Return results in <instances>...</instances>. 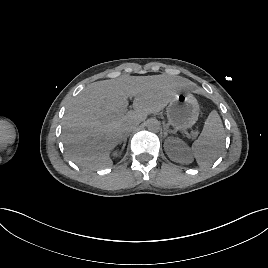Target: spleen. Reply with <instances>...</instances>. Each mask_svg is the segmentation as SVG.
<instances>
[{
	"mask_svg": "<svg viewBox=\"0 0 268 268\" xmlns=\"http://www.w3.org/2000/svg\"><path fill=\"white\" fill-rule=\"evenodd\" d=\"M224 128L222 120L213 110L208 115L199 138L192 144L191 150L201 168L210 166L218 157L224 143Z\"/></svg>",
	"mask_w": 268,
	"mask_h": 268,
	"instance_id": "spleen-1",
	"label": "spleen"
}]
</instances>
